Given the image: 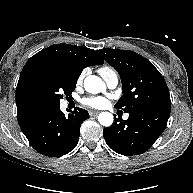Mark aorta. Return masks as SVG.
I'll list each match as a JSON object with an SVG mask.
<instances>
[{
    "instance_id": "762f6f07",
    "label": "aorta",
    "mask_w": 193,
    "mask_h": 193,
    "mask_svg": "<svg viewBox=\"0 0 193 193\" xmlns=\"http://www.w3.org/2000/svg\"><path fill=\"white\" fill-rule=\"evenodd\" d=\"M84 88L87 92L97 94L105 90V83L95 75L87 76L84 80ZM101 125L109 127L113 123V115L110 112H102L98 116Z\"/></svg>"
}]
</instances>
